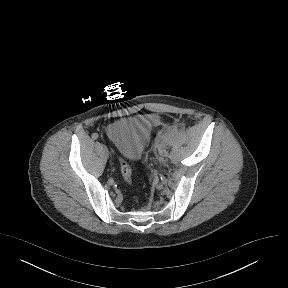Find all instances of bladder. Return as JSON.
Returning a JSON list of instances; mask_svg holds the SVG:
<instances>
[{"instance_id":"1","label":"bladder","mask_w":288,"mask_h":288,"mask_svg":"<svg viewBox=\"0 0 288 288\" xmlns=\"http://www.w3.org/2000/svg\"><path fill=\"white\" fill-rule=\"evenodd\" d=\"M152 131V120L147 116H134L112 124L107 130V136L124 152L126 157L135 159L141 155Z\"/></svg>"}]
</instances>
